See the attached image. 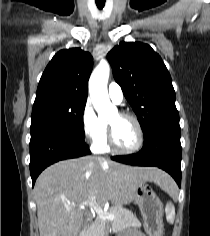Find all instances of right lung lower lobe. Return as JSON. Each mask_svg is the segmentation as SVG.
Returning a JSON list of instances; mask_svg holds the SVG:
<instances>
[{
  "instance_id": "right-lung-lower-lobe-1",
  "label": "right lung lower lobe",
  "mask_w": 210,
  "mask_h": 236,
  "mask_svg": "<svg viewBox=\"0 0 210 236\" xmlns=\"http://www.w3.org/2000/svg\"><path fill=\"white\" fill-rule=\"evenodd\" d=\"M83 138L58 130L43 131L31 135L30 174L32 184L47 166L64 159L90 154Z\"/></svg>"
}]
</instances>
